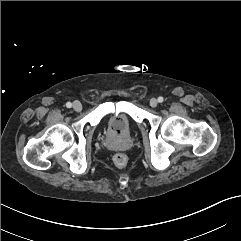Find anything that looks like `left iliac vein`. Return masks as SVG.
<instances>
[{"mask_svg":"<svg viewBox=\"0 0 241 241\" xmlns=\"http://www.w3.org/2000/svg\"><path fill=\"white\" fill-rule=\"evenodd\" d=\"M157 105H158L157 99L152 98V99L150 100V106H151V107H156Z\"/></svg>","mask_w":241,"mask_h":241,"instance_id":"4c4485c4","label":"left iliac vein"}]
</instances>
